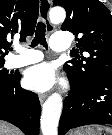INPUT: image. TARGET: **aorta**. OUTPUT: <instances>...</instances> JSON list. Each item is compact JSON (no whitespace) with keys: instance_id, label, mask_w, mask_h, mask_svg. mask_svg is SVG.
Listing matches in <instances>:
<instances>
[{"instance_id":"762f6f07","label":"aorta","mask_w":112,"mask_h":135,"mask_svg":"<svg viewBox=\"0 0 112 135\" xmlns=\"http://www.w3.org/2000/svg\"><path fill=\"white\" fill-rule=\"evenodd\" d=\"M66 12L63 8H53L50 11V20L54 24H59L65 20ZM62 97L58 93H53L43 104L41 114L42 135H57L58 124L62 112Z\"/></svg>"}]
</instances>
